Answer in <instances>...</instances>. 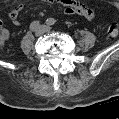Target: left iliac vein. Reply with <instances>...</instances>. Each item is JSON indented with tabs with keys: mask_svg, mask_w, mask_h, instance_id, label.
Returning a JSON list of instances; mask_svg holds the SVG:
<instances>
[{
	"mask_svg": "<svg viewBox=\"0 0 119 119\" xmlns=\"http://www.w3.org/2000/svg\"><path fill=\"white\" fill-rule=\"evenodd\" d=\"M45 31H46V32H49V31H50V28L46 27V28H45Z\"/></svg>",
	"mask_w": 119,
	"mask_h": 119,
	"instance_id": "1",
	"label": "left iliac vein"
}]
</instances>
